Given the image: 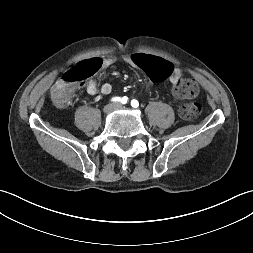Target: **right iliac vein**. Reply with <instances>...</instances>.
Masks as SVG:
<instances>
[{
	"mask_svg": "<svg viewBox=\"0 0 253 253\" xmlns=\"http://www.w3.org/2000/svg\"><path fill=\"white\" fill-rule=\"evenodd\" d=\"M115 109V104H108L104 107L103 111L106 114L111 113Z\"/></svg>",
	"mask_w": 253,
	"mask_h": 253,
	"instance_id": "right-iliac-vein-1",
	"label": "right iliac vein"
}]
</instances>
